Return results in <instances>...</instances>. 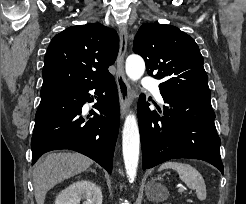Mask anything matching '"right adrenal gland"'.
I'll return each mask as SVG.
<instances>
[{"mask_svg":"<svg viewBox=\"0 0 246 204\" xmlns=\"http://www.w3.org/2000/svg\"><path fill=\"white\" fill-rule=\"evenodd\" d=\"M89 170L92 171V172H94V173H96V170H94V169H92V168H90Z\"/></svg>","mask_w":246,"mask_h":204,"instance_id":"right-adrenal-gland-1","label":"right adrenal gland"}]
</instances>
